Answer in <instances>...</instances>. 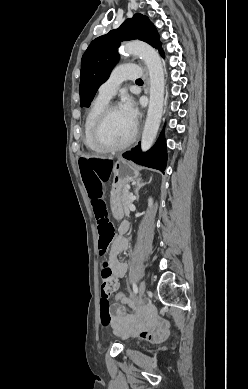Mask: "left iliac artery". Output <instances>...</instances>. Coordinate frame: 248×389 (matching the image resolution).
<instances>
[{
    "mask_svg": "<svg viewBox=\"0 0 248 389\" xmlns=\"http://www.w3.org/2000/svg\"><path fill=\"white\" fill-rule=\"evenodd\" d=\"M133 291L135 294H137V292H138V288H137V285L135 283H133Z\"/></svg>",
    "mask_w": 248,
    "mask_h": 389,
    "instance_id": "44dca946",
    "label": "left iliac artery"
}]
</instances>
